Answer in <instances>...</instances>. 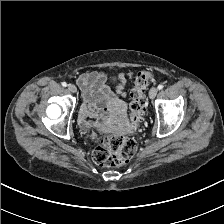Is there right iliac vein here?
<instances>
[{
  "mask_svg": "<svg viewBox=\"0 0 224 224\" xmlns=\"http://www.w3.org/2000/svg\"><path fill=\"white\" fill-rule=\"evenodd\" d=\"M68 90L71 92V93H75L77 91V88L75 85L73 84H70L68 85Z\"/></svg>",
  "mask_w": 224,
  "mask_h": 224,
  "instance_id": "1",
  "label": "right iliac vein"
}]
</instances>
